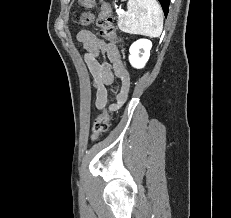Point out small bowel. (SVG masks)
<instances>
[{"label": "small bowel", "instance_id": "c3829d8e", "mask_svg": "<svg viewBox=\"0 0 231 218\" xmlns=\"http://www.w3.org/2000/svg\"><path fill=\"white\" fill-rule=\"evenodd\" d=\"M77 39L86 50L84 60L91 73L96 92V109L101 110L107 105L109 87L112 86L115 76L120 79L121 86L116 93V102L109 106L110 110H117L127 100L130 79L116 46L100 39L91 30L79 31ZM102 56L106 57L107 61H102Z\"/></svg>", "mask_w": 231, "mask_h": 218}]
</instances>
